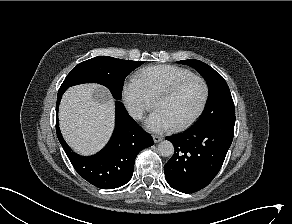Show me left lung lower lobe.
Instances as JSON below:
<instances>
[{
	"label": "left lung lower lobe",
	"instance_id": "left-lung-lower-lobe-1",
	"mask_svg": "<svg viewBox=\"0 0 292 224\" xmlns=\"http://www.w3.org/2000/svg\"><path fill=\"white\" fill-rule=\"evenodd\" d=\"M234 125L235 115H228L166 137L175 147L173 157L164 166L168 184L183 193L207 186L224 162Z\"/></svg>",
	"mask_w": 292,
	"mask_h": 224
}]
</instances>
